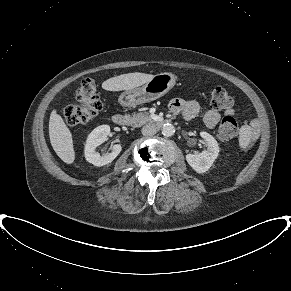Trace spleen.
Here are the masks:
<instances>
[{"label":"spleen","mask_w":291,"mask_h":291,"mask_svg":"<svg viewBox=\"0 0 291 291\" xmlns=\"http://www.w3.org/2000/svg\"><path fill=\"white\" fill-rule=\"evenodd\" d=\"M248 144H249V139L244 134H242L240 138V146L242 148H246Z\"/></svg>","instance_id":"3e777b00"}]
</instances>
